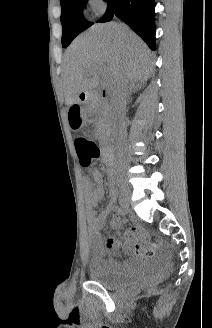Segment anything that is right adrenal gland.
I'll return each instance as SVG.
<instances>
[{
    "label": "right adrenal gland",
    "instance_id": "1",
    "mask_svg": "<svg viewBox=\"0 0 212 328\" xmlns=\"http://www.w3.org/2000/svg\"><path fill=\"white\" fill-rule=\"evenodd\" d=\"M142 85L137 82L131 81L129 85L128 97L132 92H137L141 89Z\"/></svg>",
    "mask_w": 212,
    "mask_h": 328
}]
</instances>
